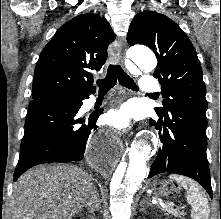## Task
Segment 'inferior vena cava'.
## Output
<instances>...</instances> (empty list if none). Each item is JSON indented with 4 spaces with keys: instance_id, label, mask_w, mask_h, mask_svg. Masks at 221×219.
Listing matches in <instances>:
<instances>
[{
    "instance_id": "1",
    "label": "inferior vena cava",
    "mask_w": 221,
    "mask_h": 219,
    "mask_svg": "<svg viewBox=\"0 0 221 219\" xmlns=\"http://www.w3.org/2000/svg\"><path fill=\"white\" fill-rule=\"evenodd\" d=\"M100 198L99 195L97 193V191H93L91 192L89 198H88V208L91 211H94L95 209H98V207L100 206ZM94 219V218H92Z\"/></svg>"
}]
</instances>
